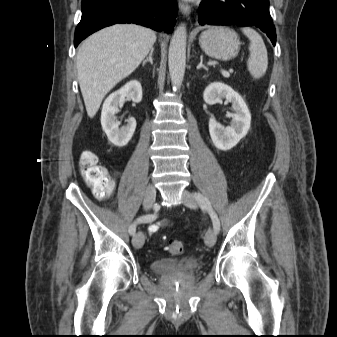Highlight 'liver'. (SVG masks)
<instances>
[{
    "instance_id": "obj_1",
    "label": "liver",
    "mask_w": 337,
    "mask_h": 337,
    "mask_svg": "<svg viewBox=\"0 0 337 337\" xmlns=\"http://www.w3.org/2000/svg\"><path fill=\"white\" fill-rule=\"evenodd\" d=\"M153 30L116 24L88 37L77 53V73L87 114L93 118L105 95L129 76L153 48Z\"/></svg>"
}]
</instances>
